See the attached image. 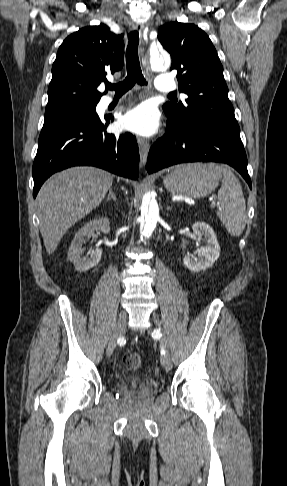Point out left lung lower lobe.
I'll use <instances>...</instances> for the list:
<instances>
[{
	"instance_id": "left-lung-lower-lobe-1",
	"label": "left lung lower lobe",
	"mask_w": 287,
	"mask_h": 486,
	"mask_svg": "<svg viewBox=\"0 0 287 486\" xmlns=\"http://www.w3.org/2000/svg\"><path fill=\"white\" fill-rule=\"evenodd\" d=\"M221 162L235 168L251 188L240 134L207 123L180 124L168 117L166 134L151 147L149 173L179 163Z\"/></svg>"
}]
</instances>
